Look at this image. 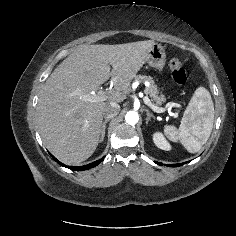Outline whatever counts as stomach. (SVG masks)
<instances>
[{
    "label": "stomach",
    "mask_w": 236,
    "mask_h": 236,
    "mask_svg": "<svg viewBox=\"0 0 236 236\" xmlns=\"http://www.w3.org/2000/svg\"><path fill=\"white\" fill-rule=\"evenodd\" d=\"M146 60L151 67L162 71L166 62L164 47L161 44L155 43L150 49Z\"/></svg>",
    "instance_id": "obj_1"
}]
</instances>
